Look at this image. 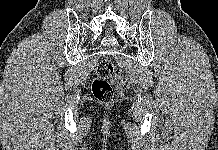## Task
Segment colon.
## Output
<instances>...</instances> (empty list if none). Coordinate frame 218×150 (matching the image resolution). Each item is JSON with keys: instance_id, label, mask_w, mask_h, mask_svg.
I'll use <instances>...</instances> for the list:
<instances>
[{"instance_id": "obj_1", "label": "colon", "mask_w": 218, "mask_h": 150, "mask_svg": "<svg viewBox=\"0 0 218 150\" xmlns=\"http://www.w3.org/2000/svg\"><path fill=\"white\" fill-rule=\"evenodd\" d=\"M114 73V65L109 59H102L96 67V75L92 81L91 89L95 99L102 103L113 100V88L109 82Z\"/></svg>"}]
</instances>
